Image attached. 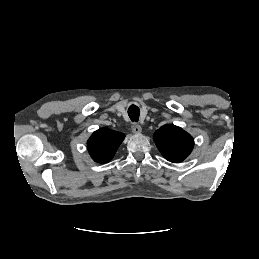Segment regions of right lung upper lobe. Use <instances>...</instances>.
<instances>
[{
	"mask_svg": "<svg viewBox=\"0 0 259 259\" xmlns=\"http://www.w3.org/2000/svg\"><path fill=\"white\" fill-rule=\"evenodd\" d=\"M124 138L125 135L120 132L101 128L95 131L88 139V151L94 161L98 163L109 162Z\"/></svg>",
	"mask_w": 259,
	"mask_h": 259,
	"instance_id": "cb5924a9",
	"label": "right lung upper lobe"
}]
</instances>
